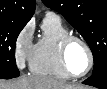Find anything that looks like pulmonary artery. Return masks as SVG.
<instances>
[{"instance_id":"1","label":"pulmonary artery","mask_w":107,"mask_h":89,"mask_svg":"<svg viewBox=\"0 0 107 89\" xmlns=\"http://www.w3.org/2000/svg\"><path fill=\"white\" fill-rule=\"evenodd\" d=\"M46 14H55V13L48 11ZM55 15H56V14H55Z\"/></svg>"}]
</instances>
